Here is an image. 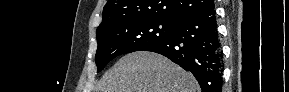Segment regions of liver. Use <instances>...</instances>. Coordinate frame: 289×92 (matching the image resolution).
I'll return each mask as SVG.
<instances>
[{
	"label": "liver",
	"mask_w": 289,
	"mask_h": 92,
	"mask_svg": "<svg viewBox=\"0 0 289 92\" xmlns=\"http://www.w3.org/2000/svg\"><path fill=\"white\" fill-rule=\"evenodd\" d=\"M100 92H200L194 76L162 55L123 56L102 78Z\"/></svg>",
	"instance_id": "obj_1"
}]
</instances>
